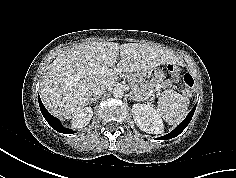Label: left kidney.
<instances>
[{"instance_id": "obj_1", "label": "left kidney", "mask_w": 236, "mask_h": 178, "mask_svg": "<svg viewBox=\"0 0 236 178\" xmlns=\"http://www.w3.org/2000/svg\"><path fill=\"white\" fill-rule=\"evenodd\" d=\"M132 115L136 125L149 134L164 132L162 119L156 109L148 104L136 103L132 106Z\"/></svg>"}]
</instances>
